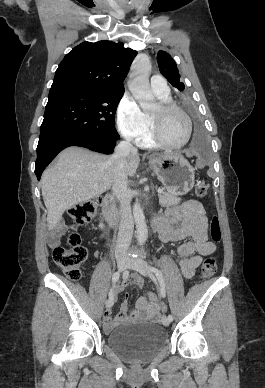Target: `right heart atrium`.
<instances>
[{
    "label": "right heart atrium",
    "mask_w": 265,
    "mask_h": 388,
    "mask_svg": "<svg viewBox=\"0 0 265 388\" xmlns=\"http://www.w3.org/2000/svg\"><path fill=\"white\" fill-rule=\"evenodd\" d=\"M118 120L123 134L130 139H141L150 129V117L144 113L136 100L125 96L118 107Z\"/></svg>",
    "instance_id": "right-heart-atrium-1"
}]
</instances>
